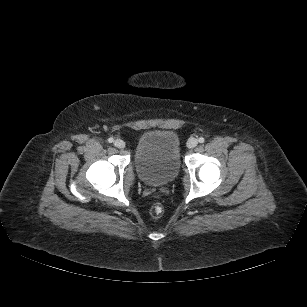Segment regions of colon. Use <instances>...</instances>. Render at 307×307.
Masks as SVG:
<instances>
[{
	"label": "colon",
	"instance_id": "obj_1",
	"mask_svg": "<svg viewBox=\"0 0 307 307\" xmlns=\"http://www.w3.org/2000/svg\"><path fill=\"white\" fill-rule=\"evenodd\" d=\"M152 217H160L163 214V207L160 204H154L150 209Z\"/></svg>",
	"mask_w": 307,
	"mask_h": 307
}]
</instances>
